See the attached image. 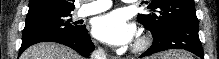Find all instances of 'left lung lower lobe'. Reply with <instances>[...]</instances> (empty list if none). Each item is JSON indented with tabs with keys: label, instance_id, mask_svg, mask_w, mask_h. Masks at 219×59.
<instances>
[{
	"label": "left lung lower lobe",
	"instance_id": "1",
	"mask_svg": "<svg viewBox=\"0 0 219 59\" xmlns=\"http://www.w3.org/2000/svg\"><path fill=\"white\" fill-rule=\"evenodd\" d=\"M198 30V19L188 18L178 22L162 35L152 34L153 44L140 58L169 49H184L204 59Z\"/></svg>",
	"mask_w": 219,
	"mask_h": 59
}]
</instances>
